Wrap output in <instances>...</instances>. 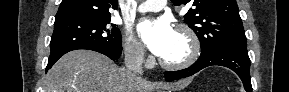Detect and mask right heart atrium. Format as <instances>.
Returning a JSON list of instances; mask_svg holds the SVG:
<instances>
[{"label": "right heart atrium", "instance_id": "right-heart-atrium-1", "mask_svg": "<svg viewBox=\"0 0 289 92\" xmlns=\"http://www.w3.org/2000/svg\"><path fill=\"white\" fill-rule=\"evenodd\" d=\"M124 54L134 64L142 65L147 61L143 46L130 32L125 35Z\"/></svg>", "mask_w": 289, "mask_h": 92}]
</instances>
